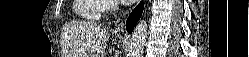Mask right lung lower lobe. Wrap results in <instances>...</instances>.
<instances>
[{
	"label": "right lung lower lobe",
	"mask_w": 249,
	"mask_h": 57,
	"mask_svg": "<svg viewBox=\"0 0 249 57\" xmlns=\"http://www.w3.org/2000/svg\"><path fill=\"white\" fill-rule=\"evenodd\" d=\"M143 11V2H141L130 14V16L128 17L127 21H126V29L128 31V33H132L136 22L140 19L141 14Z\"/></svg>",
	"instance_id": "obj_1"
}]
</instances>
